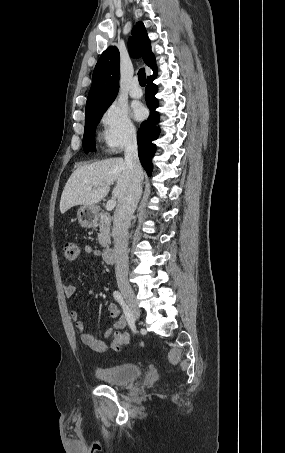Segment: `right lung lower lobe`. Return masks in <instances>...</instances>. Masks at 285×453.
<instances>
[{
    "instance_id": "1",
    "label": "right lung lower lobe",
    "mask_w": 285,
    "mask_h": 453,
    "mask_svg": "<svg viewBox=\"0 0 285 453\" xmlns=\"http://www.w3.org/2000/svg\"><path fill=\"white\" fill-rule=\"evenodd\" d=\"M156 76L157 71L147 79L145 99L147 106L150 109V115L148 119L141 124L137 135L139 159L149 176H151L153 168L151 159L156 151V146L152 143V140L157 139L160 131L159 127L156 126L159 122V114L155 111V108L158 107V100L155 98L158 89L153 83Z\"/></svg>"
}]
</instances>
